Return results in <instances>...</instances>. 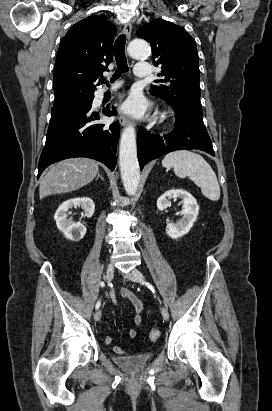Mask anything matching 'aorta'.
<instances>
[{
	"instance_id": "762f6f07",
	"label": "aorta",
	"mask_w": 272,
	"mask_h": 411,
	"mask_svg": "<svg viewBox=\"0 0 272 411\" xmlns=\"http://www.w3.org/2000/svg\"><path fill=\"white\" fill-rule=\"evenodd\" d=\"M149 44L142 39L129 43L128 52L133 58H142L149 54ZM119 166L123 186L128 195H134L138 189L140 171L137 158L136 132L133 124H129L121 135L119 146Z\"/></svg>"
}]
</instances>
